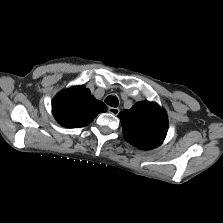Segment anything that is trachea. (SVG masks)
<instances>
[{"label":"trachea","mask_w":223,"mask_h":223,"mask_svg":"<svg viewBox=\"0 0 223 223\" xmlns=\"http://www.w3.org/2000/svg\"><path fill=\"white\" fill-rule=\"evenodd\" d=\"M105 102L111 107H118V98L116 96L109 95L106 97Z\"/></svg>","instance_id":"3493384b"}]
</instances>
